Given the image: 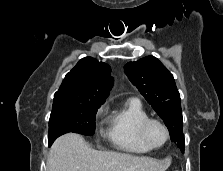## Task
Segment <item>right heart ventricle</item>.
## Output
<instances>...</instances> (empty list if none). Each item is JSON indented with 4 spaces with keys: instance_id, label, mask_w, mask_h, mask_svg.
<instances>
[{
    "instance_id": "1",
    "label": "right heart ventricle",
    "mask_w": 223,
    "mask_h": 171,
    "mask_svg": "<svg viewBox=\"0 0 223 171\" xmlns=\"http://www.w3.org/2000/svg\"><path fill=\"white\" fill-rule=\"evenodd\" d=\"M149 115L142 103L136 98L128 99L124 105L113 110L107 118L106 136L119 150L144 154L151 148L140 136V126Z\"/></svg>"
}]
</instances>
